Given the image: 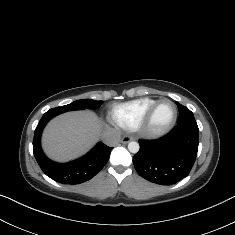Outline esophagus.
<instances>
[{
	"instance_id": "1",
	"label": "esophagus",
	"mask_w": 235,
	"mask_h": 235,
	"mask_svg": "<svg viewBox=\"0 0 235 235\" xmlns=\"http://www.w3.org/2000/svg\"><path fill=\"white\" fill-rule=\"evenodd\" d=\"M134 140V137L132 136H129V135H125L124 137H122V139L120 140V142L122 144H127L129 143L130 141Z\"/></svg>"
}]
</instances>
